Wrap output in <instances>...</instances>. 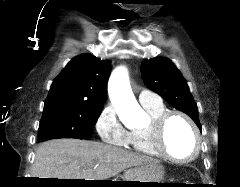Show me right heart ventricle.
Returning <instances> with one entry per match:
<instances>
[{
  "mask_svg": "<svg viewBox=\"0 0 240 187\" xmlns=\"http://www.w3.org/2000/svg\"><path fill=\"white\" fill-rule=\"evenodd\" d=\"M143 107L149 114L151 121L159 117L166 111V108L163 103L158 105H146ZM128 146L131 150L140 154L148 156H159L151 144L148 126L136 128L130 131Z\"/></svg>",
  "mask_w": 240,
  "mask_h": 187,
  "instance_id": "obj_1",
  "label": "right heart ventricle"
}]
</instances>
